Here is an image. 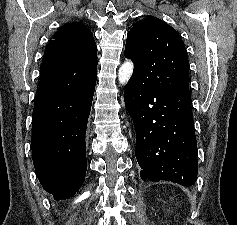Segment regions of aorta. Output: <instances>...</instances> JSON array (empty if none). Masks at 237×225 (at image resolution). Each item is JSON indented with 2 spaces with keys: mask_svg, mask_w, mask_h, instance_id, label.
Segmentation results:
<instances>
[{
  "mask_svg": "<svg viewBox=\"0 0 237 225\" xmlns=\"http://www.w3.org/2000/svg\"><path fill=\"white\" fill-rule=\"evenodd\" d=\"M132 73H133V63L131 61L124 62V64L120 67L118 72V80L120 84H126L130 79Z\"/></svg>",
  "mask_w": 237,
  "mask_h": 225,
  "instance_id": "aorta-1",
  "label": "aorta"
}]
</instances>
